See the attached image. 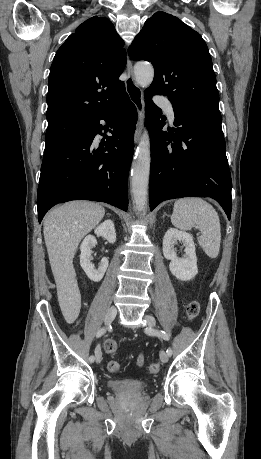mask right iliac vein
<instances>
[{
    "instance_id": "63e3f726",
    "label": "right iliac vein",
    "mask_w": 261,
    "mask_h": 459,
    "mask_svg": "<svg viewBox=\"0 0 261 459\" xmlns=\"http://www.w3.org/2000/svg\"><path fill=\"white\" fill-rule=\"evenodd\" d=\"M116 315H117L116 307H114V306L110 307L108 309L107 313H106V316H105V323L108 325L111 322H113V320L115 319ZM95 360H96L97 363H100L101 360H102V352H101V349L99 347L95 350Z\"/></svg>"
}]
</instances>
